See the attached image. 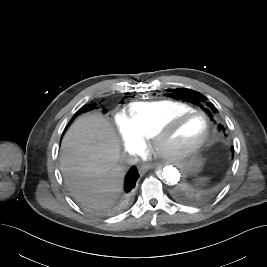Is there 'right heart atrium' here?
Instances as JSON below:
<instances>
[{
    "instance_id": "right-heart-atrium-1",
    "label": "right heart atrium",
    "mask_w": 267,
    "mask_h": 267,
    "mask_svg": "<svg viewBox=\"0 0 267 267\" xmlns=\"http://www.w3.org/2000/svg\"><path fill=\"white\" fill-rule=\"evenodd\" d=\"M115 122L125 151L133 157L140 155L145 149L143 138L127 124L124 115L117 114Z\"/></svg>"
}]
</instances>
